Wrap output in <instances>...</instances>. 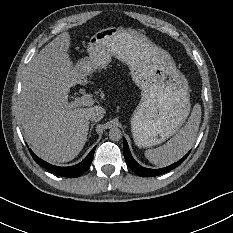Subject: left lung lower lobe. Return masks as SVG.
<instances>
[{"label": "left lung lower lobe", "instance_id": "1", "mask_svg": "<svg viewBox=\"0 0 233 233\" xmlns=\"http://www.w3.org/2000/svg\"><path fill=\"white\" fill-rule=\"evenodd\" d=\"M123 152H124V156H125V160L127 165L139 176H144V177H150V176H157V175H161L163 173L169 172L170 170L174 169L176 166H178L180 163H182L189 155L190 151L182 158L180 159L178 162L165 167V168H161V169H148V168H144L142 166H140L132 157L127 141L125 140V138H123Z\"/></svg>", "mask_w": 233, "mask_h": 233}]
</instances>
